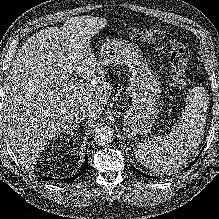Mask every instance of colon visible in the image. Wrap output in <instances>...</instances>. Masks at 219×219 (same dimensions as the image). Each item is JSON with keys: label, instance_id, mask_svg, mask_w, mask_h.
Segmentation results:
<instances>
[{"label": "colon", "instance_id": "colon-1", "mask_svg": "<svg viewBox=\"0 0 219 219\" xmlns=\"http://www.w3.org/2000/svg\"><path fill=\"white\" fill-rule=\"evenodd\" d=\"M129 35L168 53L174 80L173 87L182 89L186 85V68L189 61V53L181 40L164 31L144 28H132L129 31Z\"/></svg>", "mask_w": 219, "mask_h": 219}]
</instances>
